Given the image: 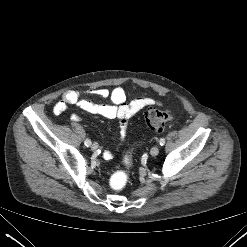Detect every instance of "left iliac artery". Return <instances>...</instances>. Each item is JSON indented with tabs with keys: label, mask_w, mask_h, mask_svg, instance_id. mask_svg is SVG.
I'll use <instances>...</instances> for the list:
<instances>
[{
	"label": "left iliac artery",
	"mask_w": 247,
	"mask_h": 247,
	"mask_svg": "<svg viewBox=\"0 0 247 247\" xmlns=\"http://www.w3.org/2000/svg\"><path fill=\"white\" fill-rule=\"evenodd\" d=\"M159 144H160V146H163L165 144V139L164 138H161L159 140Z\"/></svg>",
	"instance_id": "left-iliac-artery-1"
}]
</instances>
